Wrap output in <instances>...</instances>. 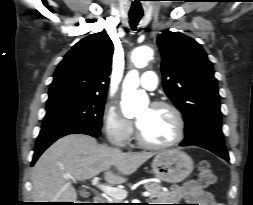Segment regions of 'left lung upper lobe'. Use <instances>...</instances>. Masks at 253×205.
<instances>
[{
  "label": "left lung upper lobe",
  "mask_w": 253,
  "mask_h": 205,
  "mask_svg": "<svg viewBox=\"0 0 253 205\" xmlns=\"http://www.w3.org/2000/svg\"><path fill=\"white\" fill-rule=\"evenodd\" d=\"M157 44L165 92L186 123L183 142L206 135L223 137L217 81L203 48L194 39L171 31L160 34Z\"/></svg>",
  "instance_id": "5c2ea615"
}]
</instances>
